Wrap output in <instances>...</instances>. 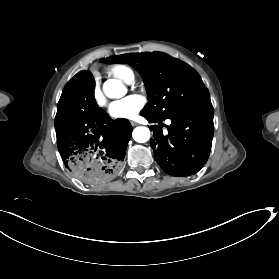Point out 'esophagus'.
<instances>
[{"label": "esophagus", "mask_w": 279, "mask_h": 279, "mask_svg": "<svg viewBox=\"0 0 279 279\" xmlns=\"http://www.w3.org/2000/svg\"><path fill=\"white\" fill-rule=\"evenodd\" d=\"M130 123H131L133 126L138 125V123H137V122H135V121H130Z\"/></svg>", "instance_id": "obj_1"}]
</instances>
